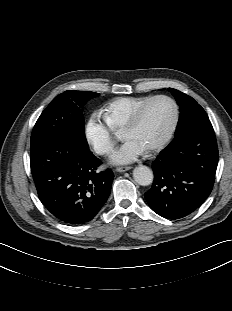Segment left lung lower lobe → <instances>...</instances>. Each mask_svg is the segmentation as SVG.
Listing matches in <instances>:
<instances>
[{
	"mask_svg": "<svg viewBox=\"0 0 232 311\" xmlns=\"http://www.w3.org/2000/svg\"><path fill=\"white\" fill-rule=\"evenodd\" d=\"M217 164L209 119L181 130L153 162L154 182L145 193L150 208L171 220L189 215L210 195Z\"/></svg>",
	"mask_w": 232,
	"mask_h": 311,
	"instance_id": "left-lung-lower-lobe-1",
	"label": "left lung lower lobe"
}]
</instances>
